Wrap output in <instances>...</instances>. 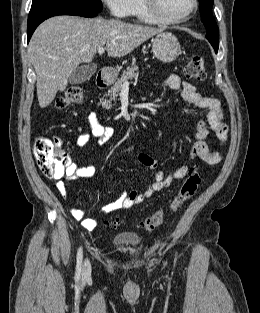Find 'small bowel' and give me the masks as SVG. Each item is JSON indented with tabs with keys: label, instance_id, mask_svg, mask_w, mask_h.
<instances>
[{
	"label": "small bowel",
	"instance_id": "1",
	"mask_svg": "<svg viewBox=\"0 0 260 313\" xmlns=\"http://www.w3.org/2000/svg\"><path fill=\"white\" fill-rule=\"evenodd\" d=\"M165 85L173 90L180 91L181 97L193 107L201 110V119L198 122L197 130L193 135V144L190 151L191 158H199L207 163H217L221 159V154L210 152L204 142L209 130H212L221 144L227 140L228 127L223 121V109L221 102L217 98L202 96L197 93L196 88L190 82L182 80L178 75H169L165 80ZM86 122L91 130L92 135L98 143H106L114 134V128L109 125H103L98 115L91 112L86 117ZM90 135L88 132H81L76 140V145L83 148L89 142ZM137 161L144 167L155 170L157 167L156 160L145 152H139L136 156ZM189 168L186 165L179 166L171 174L165 176L161 171H156L150 186L142 193L136 190L125 192L117 199L105 204L101 211L110 213L119 209L130 208L133 205L140 204L150 198L154 193L159 192L175 181L184 178ZM94 165L81 166L69 157V165L66 169V176L69 180L88 179L96 174ZM56 188L60 195L68 200V193L65 183L62 180L56 182ZM70 213L72 217L79 221L87 230H94L97 222L94 219L86 218L82 209L71 206Z\"/></svg>",
	"mask_w": 260,
	"mask_h": 313
}]
</instances>
